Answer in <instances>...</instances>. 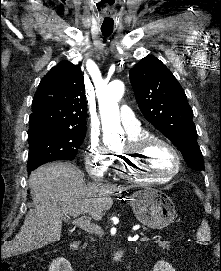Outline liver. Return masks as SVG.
Here are the masks:
<instances>
[{
	"mask_svg": "<svg viewBox=\"0 0 221 271\" xmlns=\"http://www.w3.org/2000/svg\"><path fill=\"white\" fill-rule=\"evenodd\" d=\"M33 209L26 213L17 235L2 245V257L38 249L51 241H60L62 219L65 215L88 213L99 221L113 199V191L127 189L110 183H85L83 171L73 163H45L29 177Z\"/></svg>",
	"mask_w": 221,
	"mask_h": 271,
	"instance_id": "6515ba94",
	"label": "liver"
}]
</instances>
